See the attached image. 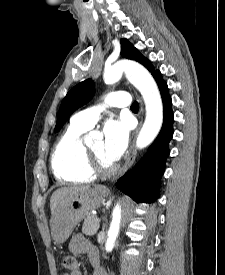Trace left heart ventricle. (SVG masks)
<instances>
[{
  "label": "left heart ventricle",
  "instance_id": "obj_1",
  "mask_svg": "<svg viewBox=\"0 0 225 275\" xmlns=\"http://www.w3.org/2000/svg\"><path fill=\"white\" fill-rule=\"evenodd\" d=\"M89 149L99 158V160L106 166L112 165L113 162L108 160L104 154V142L99 139L89 146Z\"/></svg>",
  "mask_w": 225,
  "mask_h": 275
}]
</instances>
